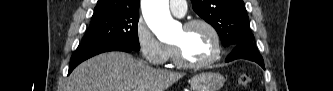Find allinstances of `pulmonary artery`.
<instances>
[{
	"mask_svg": "<svg viewBox=\"0 0 333 91\" xmlns=\"http://www.w3.org/2000/svg\"><path fill=\"white\" fill-rule=\"evenodd\" d=\"M170 11L177 17H183L186 14L187 6L185 1H170Z\"/></svg>",
	"mask_w": 333,
	"mask_h": 91,
	"instance_id": "e3ab8cb5",
	"label": "pulmonary artery"
}]
</instances>
